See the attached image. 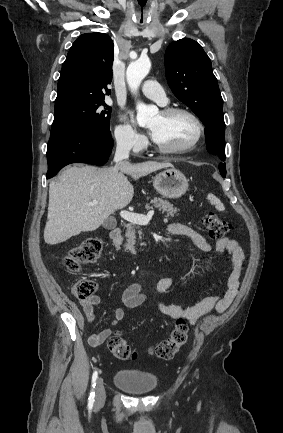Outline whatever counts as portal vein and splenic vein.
Masks as SVG:
<instances>
[{
	"label": "portal vein and splenic vein",
	"mask_w": 283,
	"mask_h": 433,
	"mask_svg": "<svg viewBox=\"0 0 283 433\" xmlns=\"http://www.w3.org/2000/svg\"><path fill=\"white\" fill-rule=\"evenodd\" d=\"M89 204H98V200H93ZM154 210H148L147 214H136V212H129V210H121L120 217L129 221V223H136V225H147L151 221Z\"/></svg>",
	"instance_id": "18ae733b"
}]
</instances>
